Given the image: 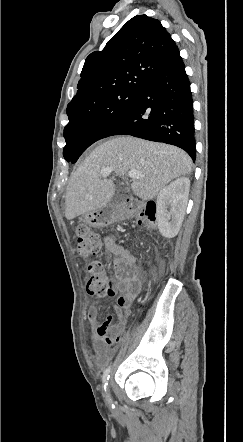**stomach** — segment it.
Returning <instances> with one entry per match:
<instances>
[{"label":"stomach","mask_w":243,"mask_h":442,"mask_svg":"<svg viewBox=\"0 0 243 442\" xmlns=\"http://www.w3.org/2000/svg\"><path fill=\"white\" fill-rule=\"evenodd\" d=\"M118 219L119 212L112 204L83 215V220L92 227H105L114 223Z\"/></svg>","instance_id":"0dacf381"}]
</instances>
